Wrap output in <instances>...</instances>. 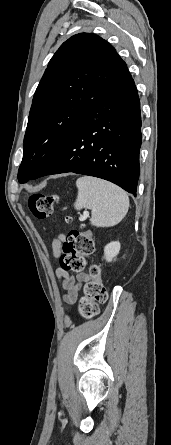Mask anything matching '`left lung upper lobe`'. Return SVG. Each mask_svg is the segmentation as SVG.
<instances>
[{
    "mask_svg": "<svg viewBox=\"0 0 171 445\" xmlns=\"http://www.w3.org/2000/svg\"><path fill=\"white\" fill-rule=\"evenodd\" d=\"M131 77L116 50L80 33L56 51L35 91L18 181L27 182L52 157L77 120Z\"/></svg>",
    "mask_w": 171,
    "mask_h": 445,
    "instance_id": "1",
    "label": "left lung upper lobe"
}]
</instances>
